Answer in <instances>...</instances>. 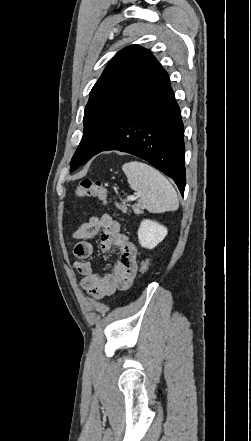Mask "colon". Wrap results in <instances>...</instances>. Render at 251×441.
<instances>
[{"label": "colon", "mask_w": 251, "mask_h": 441, "mask_svg": "<svg viewBox=\"0 0 251 441\" xmlns=\"http://www.w3.org/2000/svg\"><path fill=\"white\" fill-rule=\"evenodd\" d=\"M78 197H91L105 203L107 199V190L100 181H94L89 178L81 180L75 190ZM149 268V261L144 259L140 264L141 273H145Z\"/></svg>", "instance_id": "obj_1"}]
</instances>
